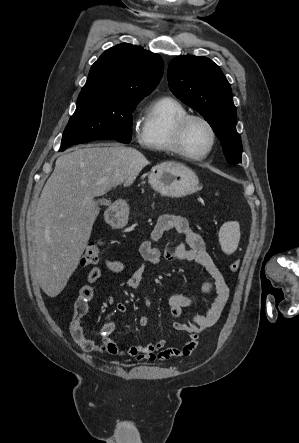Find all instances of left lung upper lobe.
Segmentation results:
<instances>
[{
	"instance_id": "obj_1",
	"label": "left lung upper lobe",
	"mask_w": 299,
	"mask_h": 443,
	"mask_svg": "<svg viewBox=\"0 0 299 443\" xmlns=\"http://www.w3.org/2000/svg\"><path fill=\"white\" fill-rule=\"evenodd\" d=\"M172 93L210 124L229 163H241L242 142L236 131V108L226 77L204 56H178L168 67Z\"/></svg>"
}]
</instances>
